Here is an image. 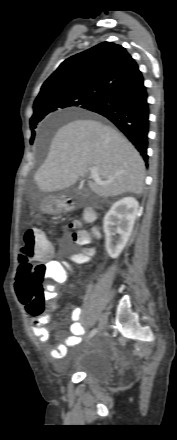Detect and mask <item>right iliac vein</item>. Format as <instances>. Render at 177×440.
Masks as SVG:
<instances>
[{"label":"right iliac vein","instance_id":"63e3f726","mask_svg":"<svg viewBox=\"0 0 177 440\" xmlns=\"http://www.w3.org/2000/svg\"><path fill=\"white\" fill-rule=\"evenodd\" d=\"M106 323H107V317L106 315H102L98 326L99 332H102L104 330Z\"/></svg>","mask_w":177,"mask_h":440}]
</instances>
